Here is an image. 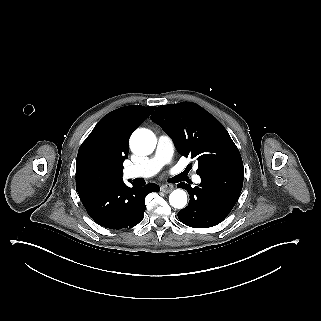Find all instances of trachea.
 I'll use <instances>...</instances> for the list:
<instances>
[{
    "instance_id": "trachea-1",
    "label": "trachea",
    "mask_w": 321,
    "mask_h": 321,
    "mask_svg": "<svg viewBox=\"0 0 321 321\" xmlns=\"http://www.w3.org/2000/svg\"><path fill=\"white\" fill-rule=\"evenodd\" d=\"M188 174V170L187 169H185L181 174H179V175H177V176H175L173 179L175 180V181H182V180H184L185 178H186V175Z\"/></svg>"
}]
</instances>
